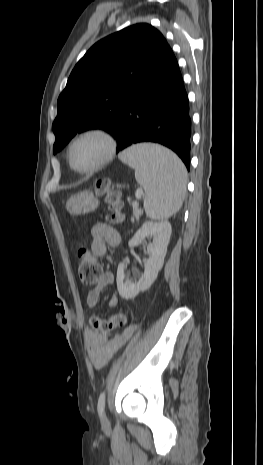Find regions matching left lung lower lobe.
Returning <instances> with one entry per match:
<instances>
[{"instance_id":"obj_1","label":"left lung lower lobe","mask_w":263,"mask_h":465,"mask_svg":"<svg viewBox=\"0 0 263 465\" xmlns=\"http://www.w3.org/2000/svg\"><path fill=\"white\" fill-rule=\"evenodd\" d=\"M115 138L117 153L135 143L155 142L172 149L190 169L188 96L169 45L136 82Z\"/></svg>"}]
</instances>
